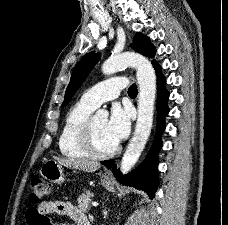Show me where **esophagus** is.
I'll use <instances>...</instances> for the list:
<instances>
[{"mask_svg":"<svg viewBox=\"0 0 228 225\" xmlns=\"http://www.w3.org/2000/svg\"><path fill=\"white\" fill-rule=\"evenodd\" d=\"M105 175H108L109 176L110 175V171L109 170H106L105 171Z\"/></svg>","mask_w":228,"mask_h":225,"instance_id":"1","label":"esophagus"}]
</instances>
